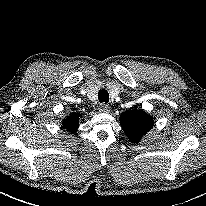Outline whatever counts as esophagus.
<instances>
[{
  "instance_id": "34e87169",
  "label": "esophagus",
  "mask_w": 206,
  "mask_h": 206,
  "mask_svg": "<svg viewBox=\"0 0 206 206\" xmlns=\"http://www.w3.org/2000/svg\"><path fill=\"white\" fill-rule=\"evenodd\" d=\"M99 111L102 113H109L111 111V107L106 103H102L99 106Z\"/></svg>"
}]
</instances>
